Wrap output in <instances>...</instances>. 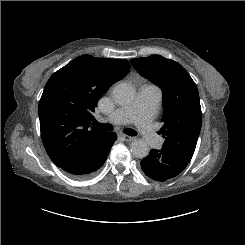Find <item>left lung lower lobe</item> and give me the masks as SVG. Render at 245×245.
Here are the masks:
<instances>
[{
  "instance_id": "left-lung-lower-lobe-1",
  "label": "left lung lower lobe",
  "mask_w": 245,
  "mask_h": 245,
  "mask_svg": "<svg viewBox=\"0 0 245 245\" xmlns=\"http://www.w3.org/2000/svg\"><path fill=\"white\" fill-rule=\"evenodd\" d=\"M188 161L169 149H152L141 161L143 172L153 180L166 181L179 175L188 165Z\"/></svg>"
}]
</instances>
